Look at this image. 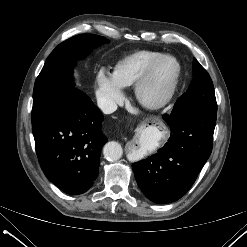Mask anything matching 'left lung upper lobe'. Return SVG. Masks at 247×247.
I'll use <instances>...</instances> for the list:
<instances>
[{"label":"left lung upper lobe","mask_w":247,"mask_h":247,"mask_svg":"<svg viewBox=\"0 0 247 247\" xmlns=\"http://www.w3.org/2000/svg\"><path fill=\"white\" fill-rule=\"evenodd\" d=\"M197 103L206 106L217 112L213 82L207 71L194 59L193 79L188 90L176 101L172 111H177L182 107Z\"/></svg>","instance_id":"obj_1"}]
</instances>
